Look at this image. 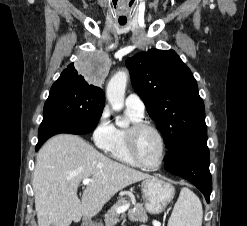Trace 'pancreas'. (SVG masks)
I'll use <instances>...</instances> for the list:
<instances>
[{
    "label": "pancreas",
    "instance_id": "1",
    "mask_svg": "<svg viewBox=\"0 0 247 226\" xmlns=\"http://www.w3.org/2000/svg\"><path fill=\"white\" fill-rule=\"evenodd\" d=\"M134 208L130 209L128 211V217L131 221H141V222H147L148 217L147 214L142 206V204L136 203L134 200H132ZM129 204L130 201L126 200V198L121 197L117 203H115L111 209L107 211V213L104 215V221L105 226H114L117 222H119V218H125V214H122L120 216L119 213H117V208ZM146 226V225H141Z\"/></svg>",
    "mask_w": 247,
    "mask_h": 226
}]
</instances>
